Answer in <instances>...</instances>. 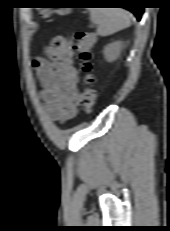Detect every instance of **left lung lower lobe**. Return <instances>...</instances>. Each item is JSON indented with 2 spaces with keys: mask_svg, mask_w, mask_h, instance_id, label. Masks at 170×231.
<instances>
[{
  "mask_svg": "<svg viewBox=\"0 0 170 231\" xmlns=\"http://www.w3.org/2000/svg\"><path fill=\"white\" fill-rule=\"evenodd\" d=\"M120 5H129V6H119L121 8H126L134 13V15L137 17L138 20L141 19L143 8L139 5V3L136 0H130L126 3H121Z\"/></svg>",
  "mask_w": 170,
  "mask_h": 231,
  "instance_id": "1",
  "label": "left lung lower lobe"
}]
</instances>
